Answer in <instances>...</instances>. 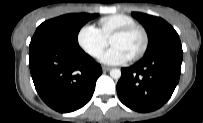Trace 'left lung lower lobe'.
Segmentation results:
<instances>
[{"instance_id":"1","label":"left lung lower lobe","mask_w":203,"mask_h":123,"mask_svg":"<svg viewBox=\"0 0 203 123\" xmlns=\"http://www.w3.org/2000/svg\"><path fill=\"white\" fill-rule=\"evenodd\" d=\"M182 57V46L172 45L145 55L131 67L122 68L117 83L121 102L138 112L163 106L178 84Z\"/></svg>"}]
</instances>
